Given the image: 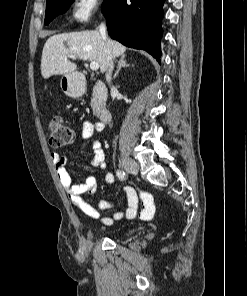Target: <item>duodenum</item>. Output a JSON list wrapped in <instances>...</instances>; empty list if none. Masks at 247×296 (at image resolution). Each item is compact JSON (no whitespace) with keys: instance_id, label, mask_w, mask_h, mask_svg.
Wrapping results in <instances>:
<instances>
[{"instance_id":"duodenum-1","label":"duodenum","mask_w":247,"mask_h":296,"mask_svg":"<svg viewBox=\"0 0 247 296\" xmlns=\"http://www.w3.org/2000/svg\"><path fill=\"white\" fill-rule=\"evenodd\" d=\"M92 97L96 107V115L103 124H108L112 120V114L107 108L105 101L107 98V89L103 82L97 81L93 85Z\"/></svg>"}]
</instances>
